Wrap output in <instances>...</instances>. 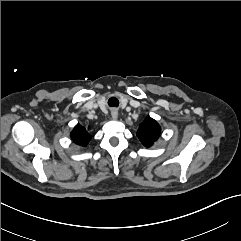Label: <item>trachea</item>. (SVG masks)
<instances>
[{"instance_id":"trachea-1","label":"trachea","mask_w":241,"mask_h":241,"mask_svg":"<svg viewBox=\"0 0 241 241\" xmlns=\"http://www.w3.org/2000/svg\"><path fill=\"white\" fill-rule=\"evenodd\" d=\"M108 105L110 107H118V105H119V98L115 94H112L108 98Z\"/></svg>"}]
</instances>
